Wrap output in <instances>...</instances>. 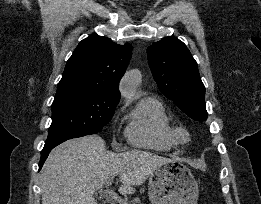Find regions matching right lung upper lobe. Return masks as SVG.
<instances>
[{
    "mask_svg": "<svg viewBox=\"0 0 261 204\" xmlns=\"http://www.w3.org/2000/svg\"><path fill=\"white\" fill-rule=\"evenodd\" d=\"M131 51L129 43L119 45L98 35L85 38L68 59L56 95L91 91L119 100V81L129 64Z\"/></svg>",
    "mask_w": 261,
    "mask_h": 204,
    "instance_id": "1",
    "label": "right lung upper lobe"
}]
</instances>
